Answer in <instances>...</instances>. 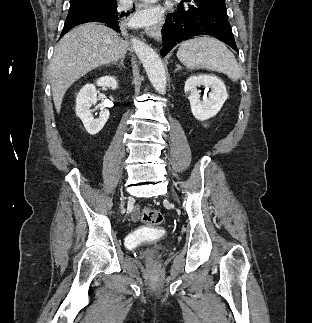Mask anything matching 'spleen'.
Instances as JSON below:
<instances>
[{
	"label": "spleen",
	"mask_w": 312,
	"mask_h": 323,
	"mask_svg": "<svg viewBox=\"0 0 312 323\" xmlns=\"http://www.w3.org/2000/svg\"><path fill=\"white\" fill-rule=\"evenodd\" d=\"M177 58L184 66H187L188 70L206 68L211 72H222V74H227L233 82H237L241 76L234 54L216 38L204 36V38H193V40L181 42Z\"/></svg>",
	"instance_id": "obj_1"
}]
</instances>
